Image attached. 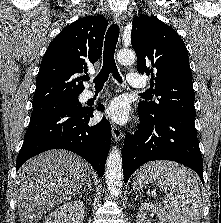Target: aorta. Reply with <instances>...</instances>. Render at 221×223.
<instances>
[{
	"label": "aorta",
	"mask_w": 221,
	"mask_h": 223,
	"mask_svg": "<svg viewBox=\"0 0 221 223\" xmlns=\"http://www.w3.org/2000/svg\"><path fill=\"white\" fill-rule=\"evenodd\" d=\"M117 60L120 64H132L136 60L134 51L122 49L117 53ZM122 157L121 152L113 147L106 161L105 179L107 189L112 196H119L122 187Z\"/></svg>",
	"instance_id": "1"
}]
</instances>
